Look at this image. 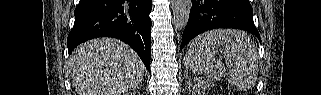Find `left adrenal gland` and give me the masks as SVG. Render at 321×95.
Here are the masks:
<instances>
[{
    "label": "left adrenal gland",
    "instance_id": "left-adrenal-gland-1",
    "mask_svg": "<svg viewBox=\"0 0 321 95\" xmlns=\"http://www.w3.org/2000/svg\"><path fill=\"white\" fill-rule=\"evenodd\" d=\"M187 86L188 88L190 87V82L188 80H186Z\"/></svg>",
    "mask_w": 321,
    "mask_h": 95
}]
</instances>
